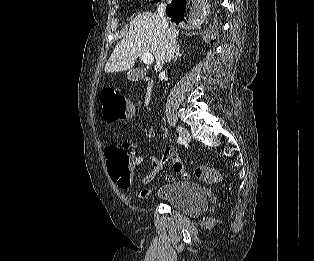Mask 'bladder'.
<instances>
[{"mask_svg": "<svg viewBox=\"0 0 314 261\" xmlns=\"http://www.w3.org/2000/svg\"><path fill=\"white\" fill-rule=\"evenodd\" d=\"M157 198L187 215L201 214L207 208V195L200 184L178 181L161 187Z\"/></svg>", "mask_w": 314, "mask_h": 261, "instance_id": "obj_1", "label": "bladder"}]
</instances>
